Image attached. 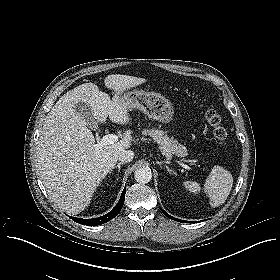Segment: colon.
<instances>
[{
  "label": "colon",
  "mask_w": 280,
  "mask_h": 280,
  "mask_svg": "<svg viewBox=\"0 0 280 280\" xmlns=\"http://www.w3.org/2000/svg\"><path fill=\"white\" fill-rule=\"evenodd\" d=\"M206 123L211 127L214 138L224 149L227 141V131L222 125L220 115L212 108H207L204 113Z\"/></svg>",
  "instance_id": "colon-1"
}]
</instances>
